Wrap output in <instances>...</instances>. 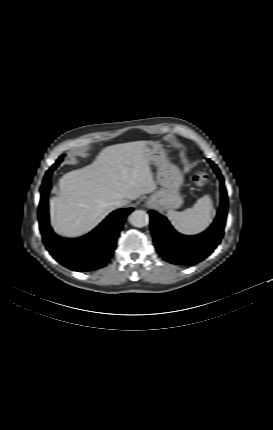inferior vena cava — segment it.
<instances>
[{
  "instance_id": "602c4592",
  "label": "inferior vena cava",
  "mask_w": 273,
  "mask_h": 430,
  "mask_svg": "<svg viewBox=\"0 0 273 430\" xmlns=\"http://www.w3.org/2000/svg\"><path fill=\"white\" fill-rule=\"evenodd\" d=\"M128 203H129V201L126 199H119L115 202V206L116 207H123V206H126Z\"/></svg>"
}]
</instances>
